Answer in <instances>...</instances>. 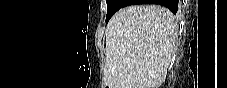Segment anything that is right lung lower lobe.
<instances>
[{"label":"right lung lower lobe","instance_id":"1","mask_svg":"<svg viewBox=\"0 0 227 88\" xmlns=\"http://www.w3.org/2000/svg\"><path fill=\"white\" fill-rule=\"evenodd\" d=\"M133 4H160L171 10L172 13L176 14L179 0H129L126 6Z\"/></svg>","mask_w":227,"mask_h":88}]
</instances>
